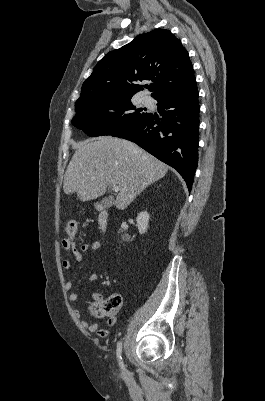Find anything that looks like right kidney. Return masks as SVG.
I'll return each instance as SVG.
<instances>
[{
  "label": "right kidney",
  "instance_id": "ca27d5eb",
  "mask_svg": "<svg viewBox=\"0 0 265 401\" xmlns=\"http://www.w3.org/2000/svg\"><path fill=\"white\" fill-rule=\"evenodd\" d=\"M149 213H147V211H143V213H139L136 221H137V225L136 227H138L139 229V233L140 235H144V233H146L147 229H148V225H149Z\"/></svg>",
  "mask_w": 265,
  "mask_h": 401
}]
</instances>
